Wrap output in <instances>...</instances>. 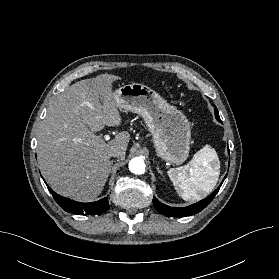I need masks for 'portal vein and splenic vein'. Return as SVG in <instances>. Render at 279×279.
Instances as JSON below:
<instances>
[{"instance_id":"obj_1","label":"portal vein and splenic vein","mask_w":279,"mask_h":279,"mask_svg":"<svg viewBox=\"0 0 279 279\" xmlns=\"http://www.w3.org/2000/svg\"><path fill=\"white\" fill-rule=\"evenodd\" d=\"M104 139H105L106 141H108V140H110V136H109L108 134H106V135L104 136Z\"/></svg>"}]
</instances>
